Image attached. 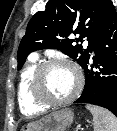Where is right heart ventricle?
Listing matches in <instances>:
<instances>
[{"mask_svg": "<svg viewBox=\"0 0 117 131\" xmlns=\"http://www.w3.org/2000/svg\"><path fill=\"white\" fill-rule=\"evenodd\" d=\"M38 65L39 61L37 58L31 59L23 69L18 83L17 95L20 110L23 114L28 116L37 115L46 110L45 106L34 101L30 93L31 79Z\"/></svg>", "mask_w": 117, "mask_h": 131, "instance_id": "right-heart-ventricle-1", "label": "right heart ventricle"}]
</instances>
